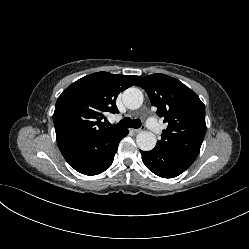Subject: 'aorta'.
I'll return each mask as SVG.
<instances>
[{
  "label": "aorta",
  "instance_id": "obj_1",
  "mask_svg": "<svg viewBox=\"0 0 249 249\" xmlns=\"http://www.w3.org/2000/svg\"><path fill=\"white\" fill-rule=\"evenodd\" d=\"M143 93L140 89L131 87L123 92V102L129 109H138L143 103ZM156 136L152 132L142 131L136 137V143L140 150L150 151L156 146Z\"/></svg>",
  "mask_w": 249,
  "mask_h": 249
}]
</instances>
